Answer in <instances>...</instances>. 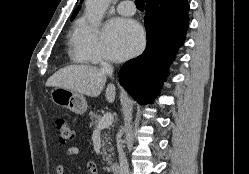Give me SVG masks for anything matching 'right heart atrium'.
Instances as JSON below:
<instances>
[{"mask_svg":"<svg viewBox=\"0 0 249 174\" xmlns=\"http://www.w3.org/2000/svg\"><path fill=\"white\" fill-rule=\"evenodd\" d=\"M74 47L77 56L86 63L98 64L106 60L99 30L88 23L81 25Z\"/></svg>","mask_w":249,"mask_h":174,"instance_id":"right-heart-atrium-1","label":"right heart atrium"}]
</instances>
